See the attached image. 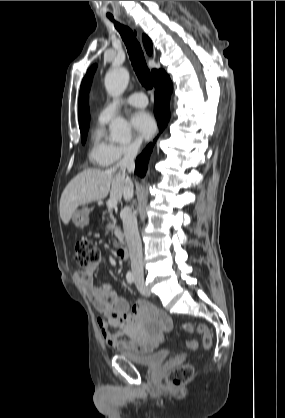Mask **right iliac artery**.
<instances>
[{"instance_id": "obj_1", "label": "right iliac artery", "mask_w": 285, "mask_h": 418, "mask_svg": "<svg viewBox=\"0 0 285 418\" xmlns=\"http://www.w3.org/2000/svg\"><path fill=\"white\" fill-rule=\"evenodd\" d=\"M126 279H127V282L130 284L134 282V276L130 271L126 274Z\"/></svg>"}]
</instances>
